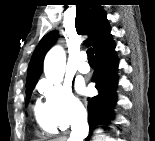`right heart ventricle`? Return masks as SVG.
I'll return each instance as SVG.
<instances>
[{
	"label": "right heart ventricle",
	"instance_id": "right-heart-ventricle-1",
	"mask_svg": "<svg viewBox=\"0 0 155 141\" xmlns=\"http://www.w3.org/2000/svg\"><path fill=\"white\" fill-rule=\"evenodd\" d=\"M35 118L39 127L46 133L54 134L57 132V127L45 105L37 103L34 108Z\"/></svg>",
	"mask_w": 155,
	"mask_h": 141
}]
</instances>
